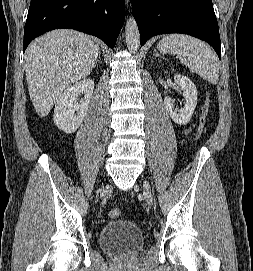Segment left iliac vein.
<instances>
[{
  "label": "left iliac vein",
  "mask_w": 253,
  "mask_h": 271,
  "mask_svg": "<svg viewBox=\"0 0 253 271\" xmlns=\"http://www.w3.org/2000/svg\"><path fill=\"white\" fill-rule=\"evenodd\" d=\"M143 194H144L145 201L147 202V204L151 205L153 201V195H152L150 185L147 181H144L143 183Z\"/></svg>",
  "instance_id": "4c4485c4"
}]
</instances>
